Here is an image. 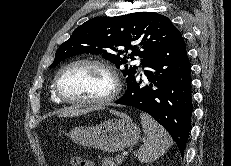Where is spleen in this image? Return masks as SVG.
Wrapping results in <instances>:
<instances>
[{"instance_id":"1","label":"spleen","mask_w":231,"mask_h":166,"mask_svg":"<svg viewBox=\"0 0 231 166\" xmlns=\"http://www.w3.org/2000/svg\"><path fill=\"white\" fill-rule=\"evenodd\" d=\"M140 118L146 140L140 147L137 156L140 162L149 163L162 157L173 144V140L169 133L151 116L142 112Z\"/></svg>"}]
</instances>
